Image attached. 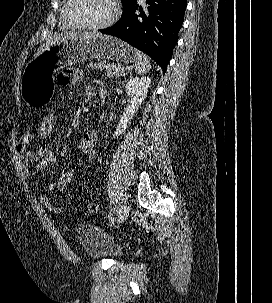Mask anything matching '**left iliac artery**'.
<instances>
[{"instance_id":"44dca946","label":"left iliac artery","mask_w":272,"mask_h":303,"mask_svg":"<svg viewBox=\"0 0 272 303\" xmlns=\"http://www.w3.org/2000/svg\"><path fill=\"white\" fill-rule=\"evenodd\" d=\"M116 212H117V215H119L120 212H121V209H120V208H117ZM117 215H116V216H117Z\"/></svg>"}]
</instances>
